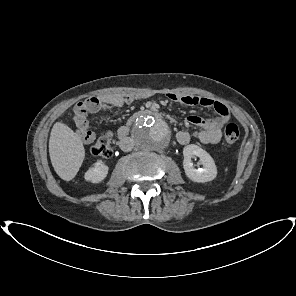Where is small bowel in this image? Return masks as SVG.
<instances>
[{
	"mask_svg": "<svg viewBox=\"0 0 296 296\" xmlns=\"http://www.w3.org/2000/svg\"><path fill=\"white\" fill-rule=\"evenodd\" d=\"M168 99L173 102L189 106H202L204 108H212L217 116L212 119H204L196 115L189 116L187 123L198 128L194 132V137L202 144L218 143L222 136V128L230 120L231 113L229 108L218 101L207 97H200L188 94H168ZM133 98L130 95L120 94H103L88 98L75 107V125L78 138L85 144H90L94 141L96 134L91 130L87 120L88 114L98 113L107 110L110 107H121L130 103ZM79 108H84L82 113L78 112ZM106 136L112 137L111 131L105 132ZM176 139L181 145H186L191 140V134L185 130H181L176 134Z\"/></svg>",
	"mask_w": 296,
	"mask_h": 296,
	"instance_id": "1",
	"label": "small bowel"
}]
</instances>
